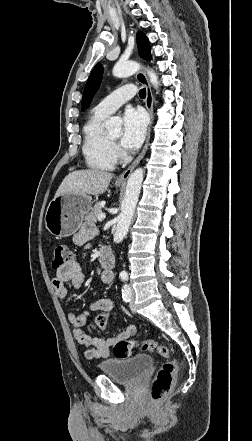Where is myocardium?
I'll return each mask as SVG.
<instances>
[{
  "label": "myocardium",
  "mask_w": 252,
  "mask_h": 441,
  "mask_svg": "<svg viewBox=\"0 0 252 441\" xmlns=\"http://www.w3.org/2000/svg\"><path fill=\"white\" fill-rule=\"evenodd\" d=\"M107 139L110 142V144L112 145V147L114 148L116 145V141L112 140L109 136H107Z\"/></svg>",
  "instance_id": "obj_1"
}]
</instances>
